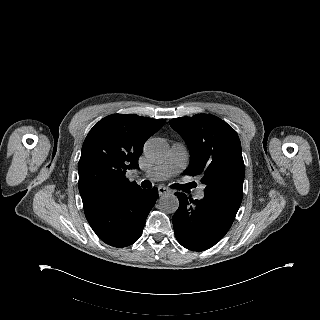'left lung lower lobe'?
<instances>
[{
  "label": "left lung lower lobe",
  "instance_id": "0a47b994",
  "mask_svg": "<svg viewBox=\"0 0 320 320\" xmlns=\"http://www.w3.org/2000/svg\"><path fill=\"white\" fill-rule=\"evenodd\" d=\"M179 208L172 217L178 242L193 251H204L219 242L230 229L238 208L214 197L193 200L175 193Z\"/></svg>",
  "mask_w": 320,
  "mask_h": 320
}]
</instances>
